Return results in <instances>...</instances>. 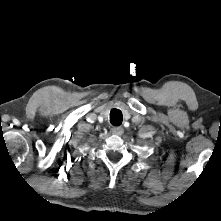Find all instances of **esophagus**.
Masks as SVG:
<instances>
[{"mask_svg":"<svg viewBox=\"0 0 221 221\" xmlns=\"http://www.w3.org/2000/svg\"><path fill=\"white\" fill-rule=\"evenodd\" d=\"M111 131H112L113 134L120 135L124 132V129L120 126H116V127H113L111 129Z\"/></svg>","mask_w":221,"mask_h":221,"instance_id":"esophagus-1","label":"esophagus"}]
</instances>
